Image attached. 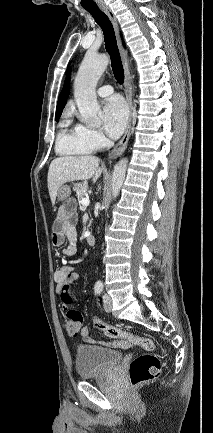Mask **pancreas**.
<instances>
[{"label": "pancreas", "instance_id": "cf45deb5", "mask_svg": "<svg viewBox=\"0 0 213 433\" xmlns=\"http://www.w3.org/2000/svg\"><path fill=\"white\" fill-rule=\"evenodd\" d=\"M73 190L76 192L78 200H81L87 195L88 183L86 181L76 183L73 186Z\"/></svg>", "mask_w": 213, "mask_h": 433}]
</instances>
